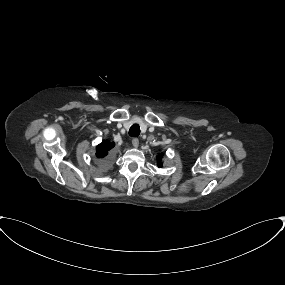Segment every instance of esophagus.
<instances>
[{
    "label": "esophagus",
    "instance_id": "obj_1",
    "mask_svg": "<svg viewBox=\"0 0 285 285\" xmlns=\"http://www.w3.org/2000/svg\"><path fill=\"white\" fill-rule=\"evenodd\" d=\"M132 145H133L134 147H138V145H139V140H138L137 138H134V139L132 140Z\"/></svg>",
    "mask_w": 285,
    "mask_h": 285
}]
</instances>
